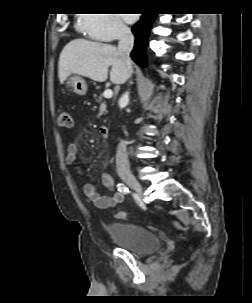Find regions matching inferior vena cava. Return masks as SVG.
Instances as JSON below:
<instances>
[{
    "label": "inferior vena cava",
    "mask_w": 252,
    "mask_h": 303,
    "mask_svg": "<svg viewBox=\"0 0 252 303\" xmlns=\"http://www.w3.org/2000/svg\"><path fill=\"white\" fill-rule=\"evenodd\" d=\"M134 45V36L126 25L121 24L119 26V43H118V52L127 66L129 71V77L132 74V64L130 58V52L133 49ZM129 101V93H124L119 103L123 106H126ZM116 169L119 175L130 174V166L128 161L127 155V147L126 141L121 140L118 144L117 151H116Z\"/></svg>",
    "instance_id": "1"
}]
</instances>
